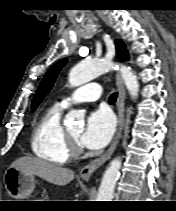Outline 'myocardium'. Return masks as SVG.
I'll use <instances>...</instances> for the list:
<instances>
[{
    "label": "myocardium",
    "instance_id": "1",
    "mask_svg": "<svg viewBox=\"0 0 176 211\" xmlns=\"http://www.w3.org/2000/svg\"><path fill=\"white\" fill-rule=\"evenodd\" d=\"M66 139L68 142L70 154L78 155L82 152V148L76 138H74L69 131L65 130Z\"/></svg>",
    "mask_w": 176,
    "mask_h": 211
}]
</instances>
